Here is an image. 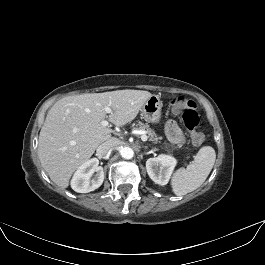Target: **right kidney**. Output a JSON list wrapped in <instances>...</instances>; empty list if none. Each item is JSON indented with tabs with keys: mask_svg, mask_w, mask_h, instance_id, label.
I'll use <instances>...</instances> for the list:
<instances>
[{
	"mask_svg": "<svg viewBox=\"0 0 265 265\" xmlns=\"http://www.w3.org/2000/svg\"><path fill=\"white\" fill-rule=\"evenodd\" d=\"M94 177L91 179L93 174ZM104 181V171L97 158L90 159L78 167L71 180V187L78 193H88L99 188Z\"/></svg>",
	"mask_w": 265,
	"mask_h": 265,
	"instance_id": "obj_1",
	"label": "right kidney"
}]
</instances>
